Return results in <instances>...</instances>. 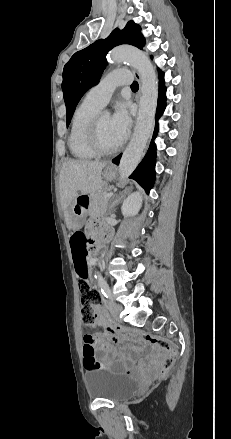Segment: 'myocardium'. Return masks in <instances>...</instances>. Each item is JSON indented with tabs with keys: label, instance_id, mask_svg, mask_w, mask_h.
I'll use <instances>...</instances> for the list:
<instances>
[{
	"label": "myocardium",
	"instance_id": "f54148a6",
	"mask_svg": "<svg viewBox=\"0 0 231 439\" xmlns=\"http://www.w3.org/2000/svg\"><path fill=\"white\" fill-rule=\"evenodd\" d=\"M101 112H97L92 117L88 131H87V140L91 147V149L94 151L95 154L101 155V156H108L115 154L119 151L121 148V144L117 145L113 148H105L102 146L100 139H99V118H100Z\"/></svg>",
	"mask_w": 231,
	"mask_h": 439
}]
</instances>
